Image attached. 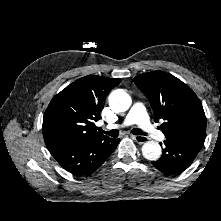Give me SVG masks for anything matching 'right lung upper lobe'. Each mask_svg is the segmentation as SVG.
Listing matches in <instances>:
<instances>
[{
    "instance_id": "obj_1",
    "label": "right lung upper lobe",
    "mask_w": 221,
    "mask_h": 221,
    "mask_svg": "<svg viewBox=\"0 0 221 221\" xmlns=\"http://www.w3.org/2000/svg\"><path fill=\"white\" fill-rule=\"evenodd\" d=\"M121 79L98 75L82 77L53 97L43 118V136L48 150L106 137L96 131L100 107Z\"/></svg>"
}]
</instances>
